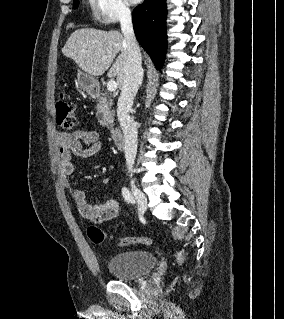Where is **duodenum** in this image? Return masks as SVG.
<instances>
[{"label":"duodenum","instance_id":"1","mask_svg":"<svg viewBox=\"0 0 284 319\" xmlns=\"http://www.w3.org/2000/svg\"><path fill=\"white\" fill-rule=\"evenodd\" d=\"M93 95L95 93L93 92ZM108 129L111 133L112 140L117 148H123L125 145V137L120 129L115 126L109 125Z\"/></svg>","mask_w":284,"mask_h":319}]
</instances>
